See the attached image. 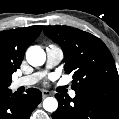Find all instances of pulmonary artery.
Returning <instances> with one entry per match:
<instances>
[{"label":"pulmonary artery","instance_id":"1","mask_svg":"<svg viewBox=\"0 0 119 119\" xmlns=\"http://www.w3.org/2000/svg\"><path fill=\"white\" fill-rule=\"evenodd\" d=\"M63 59V51L60 47L56 45L49 44L46 46V69H51L61 62ZM42 77V73L37 72L24 77L17 78L13 80L11 88L16 90L20 87H29L37 83ZM70 97L74 98L76 96L75 91H70Z\"/></svg>","mask_w":119,"mask_h":119}]
</instances>
